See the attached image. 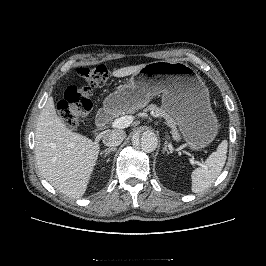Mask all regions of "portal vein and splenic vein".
Returning <instances> with one entry per match:
<instances>
[{"label":"portal vein and splenic vein","mask_w":266,"mask_h":266,"mask_svg":"<svg viewBox=\"0 0 266 266\" xmlns=\"http://www.w3.org/2000/svg\"><path fill=\"white\" fill-rule=\"evenodd\" d=\"M132 121H133V117L132 116H123V117H120L118 119H115L112 122V127L113 128H118V129H124V128L130 126ZM189 160H190V162L192 164H197V165L201 166V163L198 162V161H195L193 158H190Z\"/></svg>","instance_id":"obj_1"}]
</instances>
